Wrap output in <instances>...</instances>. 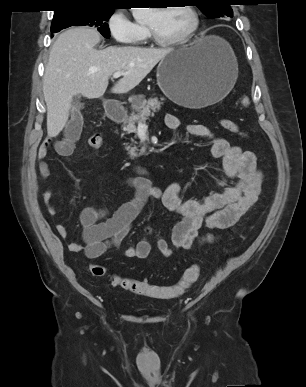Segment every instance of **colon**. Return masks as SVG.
<instances>
[{"label": "colon", "mask_w": 306, "mask_h": 387, "mask_svg": "<svg viewBox=\"0 0 306 387\" xmlns=\"http://www.w3.org/2000/svg\"><path fill=\"white\" fill-rule=\"evenodd\" d=\"M219 125L230 133L243 134L237 123L230 119H220ZM88 145L93 149H100L103 146L101 134H91L88 138ZM90 272L92 275L100 277L106 274V268L100 264H92L90 266ZM200 273V266L198 264H192L184 270L181 279L176 284L170 286L155 285L146 280H137L118 275H113L111 277V282L114 286L133 292L137 295L154 299H170L179 297L185 293L197 281Z\"/></svg>", "instance_id": "5ec220e1"}]
</instances>
